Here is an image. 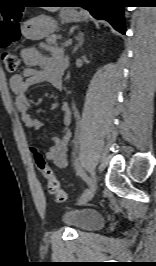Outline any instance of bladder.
<instances>
[{
    "label": "bladder",
    "instance_id": "bladder-1",
    "mask_svg": "<svg viewBox=\"0 0 156 266\" xmlns=\"http://www.w3.org/2000/svg\"><path fill=\"white\" fill-rule=\"evenodd\" d=\"M62 221L77 231H92L103 225L102 215L92 209L69 208L62 216Z\"/></svg>",
    "mask_w": 156,
    "mask_h": 266
}]
</instances>
